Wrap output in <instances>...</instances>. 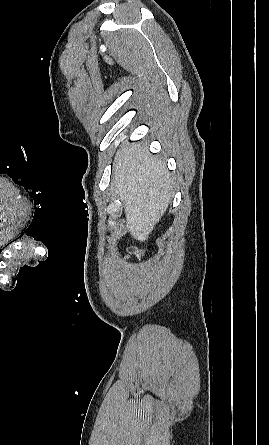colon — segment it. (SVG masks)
<instances>
[{
	"mask_svg": "<svg viewBox=\"0 0 269 445\" xmlns=\"http://www.w3.org/2000/svg\"><path fill=\"white\" fill-rule=\"evenodd\" d=\"M128 253H129V256H135V257H139L141 254L140 250L137 248L129 249Z\"/></svg>",
	"mask_w": 269,
	"mask_h": 445,
	"instance_id": "1",
	"label": "colon"
}]
</instances>
